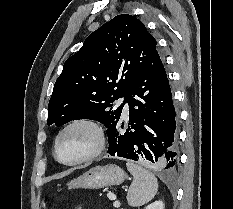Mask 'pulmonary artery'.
Listing matches in <instances>:
<instances>
[{
    "instance_id": "pulmonary-artery-1",
    "label": "pulmonary artery",
    "mask_w": 233,
    "mask_h": 209,
    "mask_svg": "<svg viewBox=\"0 0 233 209\" xmlns=\"http://www.w3.org/2000/svg\"><path fill=\"white\" fill-rule=\"evenodd\" d=\"M123 101H124V99L121 98V99L118 100V103H122ZM123 114H124V116H127V115H128V104H127V103H126L125 106H124Z\"/></svg>"
}]
</instances>
